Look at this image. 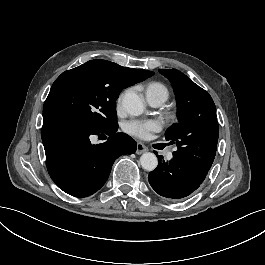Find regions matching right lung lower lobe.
<instances>
[{"label":"right lung lower lobe","instance_id":"obj_1","mask_svg":"<svg viewBox=\"0 0 265 265\" xmlns=\"http://www.w3.org/2000/svg\"><path fill=\"white\" fill-rule=\"evenodd\" d=\"M117 128L97 132L62 115H43L46 165L61 190L75 197L92 195L106 182L114 161L136 151V142L124 133H116ZM92 135L107 141L94 145Z\"/></svg>","mask_w":265,"mask_h":265}]
</instances>
